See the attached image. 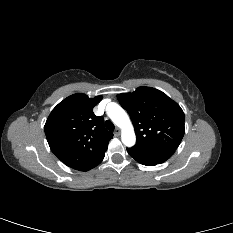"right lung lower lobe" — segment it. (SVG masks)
Listing matches in <instances>:
<instances>
[{
    "label": "right lung lower lobe",
    "mask_w": 233,
    "mask_h": 233,
    "mask_svg": "<svg viewBox=\"0 0 233 233\" xmlns=\"http://www.w3.org/2000/svg\"><path fill=\"white\" fill-rule=\"evenodd\" d=\"M105 155V154H104ZM104 155L93 165V166H91L88 170H90V169H92V168H94V167H96L98 164H100L101 163V161L103 160V158H104ZM87 170V171H88Z\"/></svg>",
    "instance_id": "1"
}]
</instances>
